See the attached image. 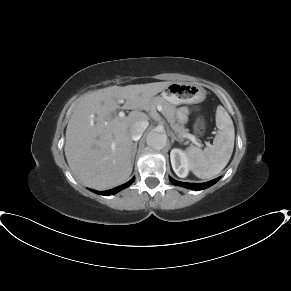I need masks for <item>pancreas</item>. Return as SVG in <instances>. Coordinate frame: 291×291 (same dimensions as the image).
<instances>
[{
  "mask_svg": "<svg viewBox=\"0 0 291 291\" xmlns=\"http://www.w3.org/2000/svg\"><path fill=\"white\" fill-rule=\"evenodd\" d=\"M160 105L162 107V114L170 123L173 131L178 135L180 139L185 138L184 136L189 134L188 129L184 126L176 123L175 113L176 107L166 101L164 98L157 96L151 99L150 104L146 107V110H150L156 106Z\"/></svg>",
  "mask_w": 291,
  "mask_h": 291,
  "instance_id": "1",
  "label": "pancreas"
}]
</instances>
